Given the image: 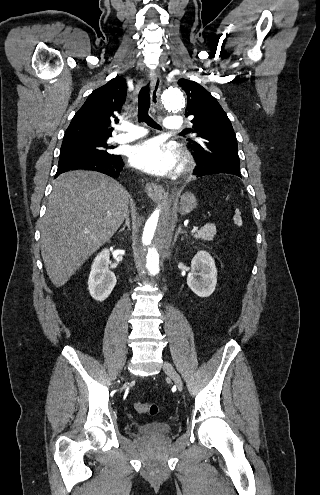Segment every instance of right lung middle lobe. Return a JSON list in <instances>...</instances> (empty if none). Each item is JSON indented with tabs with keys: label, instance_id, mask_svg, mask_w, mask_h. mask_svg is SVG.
<instances>
[{
	"label": "right lung middle lobe",
	"instance_id": "right-lung-middle-lobe-1",
	"mask_svg": "<svg viewBox=\"0 0 320 495\" xmlns=\"http://www.w3.org/2000/svg\"><path fill=\"white\" fill-rule=\"evenodd\" d=\"M108 138H83L63 140L60 158L67 156L108 157Z\"/></svg>",
	"mask_w": 320,
	"mask_h": 495
}]
</instances>
